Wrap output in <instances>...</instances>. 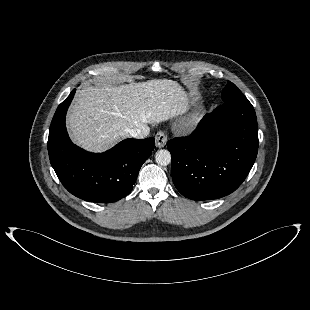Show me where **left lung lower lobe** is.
<instances>
[{
	"label": "left lung lower lobe",
	"instance_id": "obj_1",
	"mask_svg": "<svg viewBox=\"0 0 310 310\" xmlns=\"http://www.w3.org/2000/svg\"><path fill=\"white\" fill-rule=\"evenodd\" d=\"M175 187L192 200L235 191L250 172L258 151L257 118L248 99L224 102L207 114L188 137L169 140Z\"/></svg>",
	"mask_w": 310,
	"mask_h": 310
}]
</instances>
